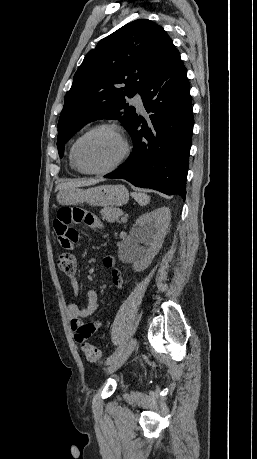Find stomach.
<instances>
[{
	"label": "stomach",
	"instance_id": "1",
	"mask_svg": "<svg viewBox=\"0 0 257 459\" xmlns=\"http://www.w3.org/2000/svg\"><path fill=\"white\" fill-rule=\"evenodd\" d=\"M128 191L123 185H102L88 189L70 188L61 190L57 201L62 205L88 203L93 206L122 205L128 201Z\"/></svg>",
	"mask_w": 257,
	"mask_h": 459
}]
</instances>
